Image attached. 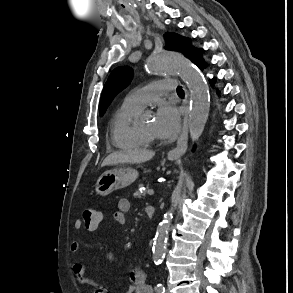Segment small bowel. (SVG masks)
<instances>
[{"mask_svg":"<svg viewBox=\"0 0 293 293\" xmlns=\"http://www.w3.org/2000/svg\"><path fill=\"white\" fill-rule=\"evenodd\" d=\"M131 204L128 199H120L118 201L117 210L113 213V220L118 224H124L126 222V214L130 210ZM102 221V215L101 220ZM82 222L77 220L74 224L75 229L79 230L82 227ZM98 227V226H97ZM96 228H85L89 231H95ZM80 249V243L74 241L71 244L72 252H77ZM73 272L79 283L93 287V293H106V291L98 286H95L87 276L83 266L81 264H74ZM130 284L124 290V293H152L151 286L147 283L146 274L142 269H132L129 272Z\"/></svg>","mask_w":293,"mask_h":293,"instance_id":"obj_1","label":"small bowel"}]
</instances>
